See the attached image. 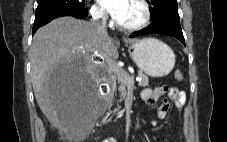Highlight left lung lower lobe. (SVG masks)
I'll list each match as a JSON object with an SVG mask.
<instances>
[{"instance_id":"obj_1","label":"left lung lower lobe","mask_w":227,"mask_h":142,"mask_svg":"<svg viewBox=\"0 0 227 142\" xmlns=\"http://www.w3.org/2000/svg\"><path fill=\"white\" fill-rule=\"evenodd\" d=\"M156 33L175 37L185 45V39L180 25L169 23V22L152 23L150 26L140 31L134 32L133 34L130 35V37H136V36L147 35V34H156Z\"/></svg>"}]
</instances>
